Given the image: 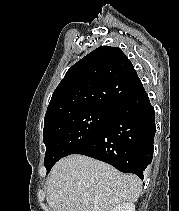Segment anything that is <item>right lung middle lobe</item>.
Returning <instances> with one entry per match:
<instances>
[{"label":"right lung middle lobe","instance_id":"obj_1","mask_svg":"<svg viewBox=\"0 0 179 211\" xmlns=\"http://www.w3.org/2000/svg\"><path fill=\"white\" fill-rule=\"evenodd\" d=\"M113 109L89 108L60 117L44 126L47 173L62 157L93 140L111 117Z\"/></svg>","mask_w":179,"mask_h":211}]
</instances>
